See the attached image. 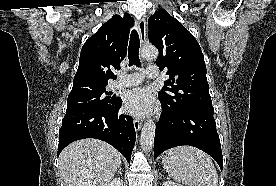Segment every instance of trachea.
Instances as JSON below:
<instances>
[{"mask_svg": "<svg viewBox=\"0 0 276 186\" xmlns=\"http://www.w3.org/2000/svg\"><path fill=\"white\" fill-rule=\"evenodd\" d=\"M139 48H140V40L139 35L136 30L131 32L129 48H128V59L129 65H136L138 67L141 66L139 59Z\"/></svg>", "mask_w": 276, "mask_h": 186, "instance_id": "1", "label": "trachea"}]
</instances>
